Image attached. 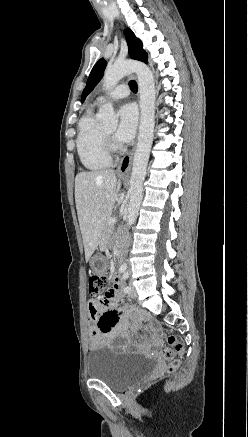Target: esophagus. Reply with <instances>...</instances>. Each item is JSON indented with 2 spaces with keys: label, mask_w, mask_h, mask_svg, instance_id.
I'll list each match as a JSON object with an SVG mask.
<instances>
[{
  "label": "esophagus",
  "mask_w": 248,
  "mask_h": 437,
  "mask_svg": "<svg viewBox=\"0 0 248 437\" xmlns=\"http://www.w3.org/2000/svg\"><path fill=\"white\" fill-rule=\"evenodd\" d=\"M134 153L135 146L126 155L123 156L118 166L119 175H124L130 171Z\"/></svg>",
  "instance_id": "esophagus-1"
}]
</instances>
